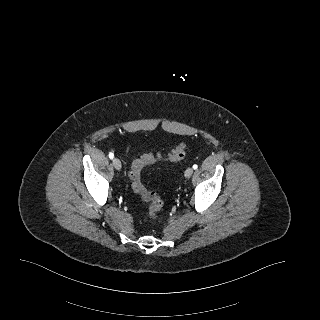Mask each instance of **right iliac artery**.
<instances>
[{"label":"right iliac artery","instance_id":"82829eb1","mask_svg":"<svg viewBox=\"0 0 320 320\" xmlns=\"http://www.w3.org/2000/svg\"><path fill=\"white\" fill-rule=\"evenodd\" d=\"M113 157H114V154L111 152V153L109 154V158L112 159Z\"/></svg>","mask_w":320,"mask_h":320}]
</instances>
